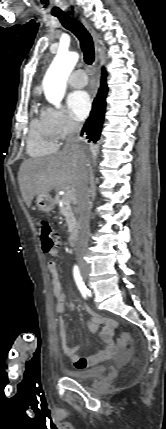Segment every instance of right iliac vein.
Segmentation results:
<instances>
[{
	"instance_id": "obj_1",
	"label": "right iliac vein",
	"mask_w": 166,
	"mask_h": 429,
	"mask_svg": "<svg viewBox=\"0 0 166 429\" xmlns=\"http://www.w3.org/2000/svg\"><path fill=\"white\" fill-rule=\"evenodd\" d=\"M82 275L86 279L87 278V271L86 270H82Z\"/></svg>"
}]
</instances>
